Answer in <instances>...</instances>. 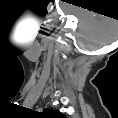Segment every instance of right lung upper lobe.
<instances>
[{
  "label": "right lung upper lobe",
  "instance_id": "right-lung-upper-lobe-1",
  "mask_svg": "<svg viewBox=\"0 0 118 118\" xmlns=\"http://www.w3.org/2000/svg\"><path fill=\"white\" fill-rule=\"evenodd\" d=\"M50 113H56V111L54 110H48Z\"/></svg>",
  "mask_w": 118,
  "mask_h": 118
}]
</instances>
